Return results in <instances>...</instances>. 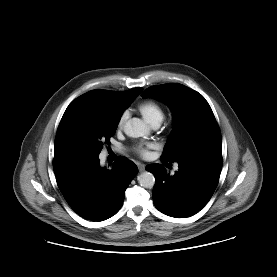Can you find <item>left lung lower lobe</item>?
<instances>
[{"label": "left lung lower lobe", "instance_id": "0a47b994", "mask_svg": "<svg viewBox=\"0 0 277 277\" xmlns=\"http://www.w3.org/2000/svg\"><path fill=\"white\" fill-rule=\"evenodd\" d=\"M221 149L201 151L178 161L173 176L157 163L146 170L156 178L153 202L162 213L176 218L199 212L212 197L222 169Z\"/></svg>", "mask_w": 277, "mask_h": 277}]
</instances>
